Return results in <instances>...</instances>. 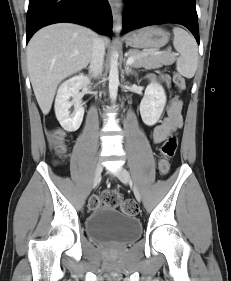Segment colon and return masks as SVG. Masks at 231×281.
Listing matches in <instances>:
<instances>
[{"instance_id": "colon-1", "label": "colon", "mask_w": 231, "mask_h": 281, "mask_svg": "<svg viewBox=\"0 0 231 281\" xmlns=\"http://www.w3.org/2000/svg\"><path fill=\"white\" fill-rule=\"evenodd\" d=\"M173 81L180 91L186 88V82L182 75L175 73L173 75ZM48 141L51 148L59 156H64L66 152V146L64 143V133L60 129L52 130L48 133ZM177 139L175 136H170L161 146L160 158L158 161V171L161 175L168 174L170 170L169 160L172 158L176 152ZM89 209L96 210L102 206H107L111 208L121 206L122 211L129 215H136L139 211L138 206L133 200L123 201L122 195L115 190L107 191L101 198L92 197L89 200Z\"/></svg>"}]
</instances>
